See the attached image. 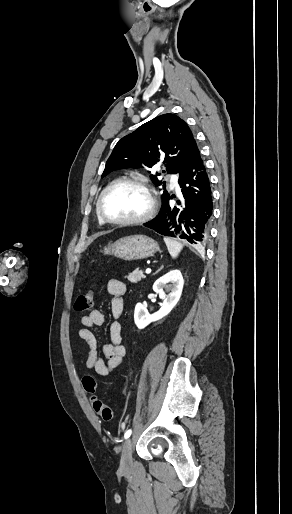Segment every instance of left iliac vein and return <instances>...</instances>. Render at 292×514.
Wrapping results in <instances>:
<instances>
[{
	"mask_svg": "<svg viewBox=\"0 0 292 514\" xmlns=\"http://www.w3.org/2000/svg\"><path fill=\"white\" fill-rule=\"evenodd\" d=\"M132 448H133V438L129 437L125 440L123 447H122L120 466L123 471H127V470L131 469V467H132V464H133Z\"/></svg>",
	"mask_w": 292,
	"mask_h": 514,
	"instance_id": "1",
	"label": "left iliac vein"
}]
</instances>
